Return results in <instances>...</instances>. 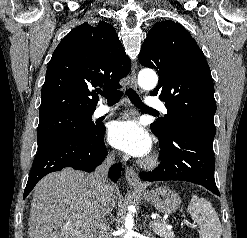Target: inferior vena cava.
I'll return each instance as SVG.
<instances>
[{"label":"inferior vena cava","instance_id":"1","mask_svg":"<svg viewBox=\"0 0 247 238\" xmlns=\"http://www.w3.org/2000/svg\"><path fill=\"white\" fill-rule=\"evenodd\" d=\"M115 155L110 154V156L107 158V160L102 163L99 167H97L94 171V173L91 175L92 182L94 185V191L96 198L99 199V201L105 196L107 193V190L109 188V182H108V169L111 163L114 162ZM98 216V222H97V231H96V238H108V234L106 232L107 225L105 223L104 215L99 210L97 211Z\"/></svg>","mask_w":247,"mask_h":238}]
</instances>
